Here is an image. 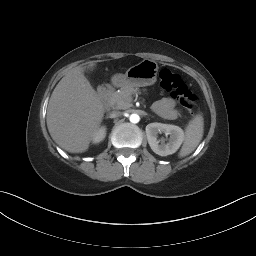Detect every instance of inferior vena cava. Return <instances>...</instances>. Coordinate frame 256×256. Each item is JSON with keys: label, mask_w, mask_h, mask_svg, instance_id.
Listing matches in <instances>:
<instances>
[{"label": "inferior vena cava", "mask_w": 256, "mask_h": 256, "mask_svg": "<svg viewBox=\"0 0 256 256\" xmlns=\"http://www.w3.org/2000/svg\"><path fill=\"white\" fill-rule=\"evenodd\" d=\"M122 114V112L115 110L110 113L111 118L119 117Z\"/></svg>", "instance_id": "1"}]
</instances>
